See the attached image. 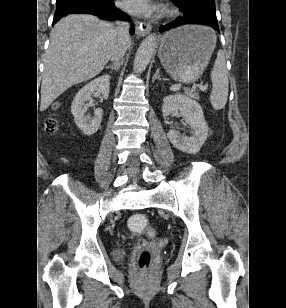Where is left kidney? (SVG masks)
Instances as JSON below:
<instances>
[{"mask_svg": "<svg viewBox=\"0 0 286 308\" xmlns=\"http://www.w3.org/2000/svg\"><path fill=\"white\" fill-rule=\"evenodd\" d=\"M180 112L185 122L191 127L190 137L181 136L176 130L167 133L169 141L177 149L189 153H197L208 136V126L204 119L202 107L198 102L182 94L169 95L162 104L163 117Z\"/></svg>", "mask_w": 286, "mask_h": 308, "instance_id": "obj_1", "label": "left kidney"}]
</instances>
